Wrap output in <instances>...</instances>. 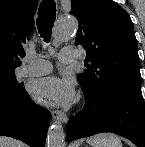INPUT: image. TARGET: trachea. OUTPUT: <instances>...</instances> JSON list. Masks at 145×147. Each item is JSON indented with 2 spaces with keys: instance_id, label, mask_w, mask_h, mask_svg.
<instances>
[{
  "instance_id": "obj_1",
  "label": "trachea",
  "mask_w": 145,
  "mask_h": 147,
  "mask_svg": "<svg viewBox=\"0 0 145 147\" xmlns=\"http://www.w3.org/2000/svg\"><path fill=\"white\" fill-rule=\"evenodd\" d=\"M56 4L54 0H43L38 10L36 21L38 31L45 42L51 39L52 28L56 18Z\"/></svg>"
}]
</instances>
